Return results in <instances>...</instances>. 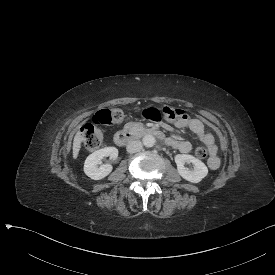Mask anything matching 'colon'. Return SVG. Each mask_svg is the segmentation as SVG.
Wrapping results in <instances>:
<instances>
[{
  "label": "colon",
  "mask_w": 275,
  "mask_h": 275,
  "mask_svg": "<svg viewBox=\"0 0 275 275\" xmlns=\"http://www.w3.org/2000/svg\"><path fill=\"white\" fill-rule=\"evenodd\" d=\"M142 116L149 121L172 122L179 120L185 116V111L170 106L162 108L148 107L143 109ZM124 112L121 108L101 109L85 123L81 129L83 146L86 150L97 151L101 148L105 137V127L113 126L123 120ZM208 153L205 147H197L195 149V156L199 159H205Z\"/></svg>",
  "instance_id": "colon-1"
}]
</instances>
